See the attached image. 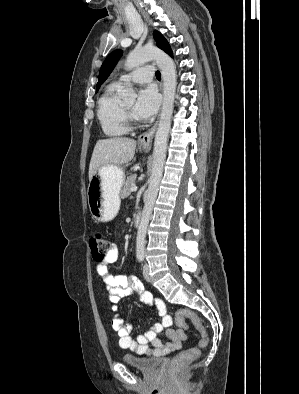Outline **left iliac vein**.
I'll return each mask as SVG.
<instances>
[{
  "label": "left iliac vein",
  "instance_id": "left-iliac-vein-1",
  "mask_svg": "<svg viewBox=\"0 0 299 394\" xmlns=\"http://www.w3.org/2000/svg\"><path fill=\"white\" fill-rule=\"evenodd\" d=\"M143 276L146 281H150V274H149V266L148 264H144L143 266Z\"/></svg>",
  "mask_w": 299,
  "mask_h": 394
}]
</instances>
